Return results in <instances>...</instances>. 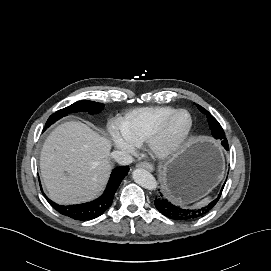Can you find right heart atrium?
Masks as SVG:
<instances>
[{
	"label": "right heart atrium",
	"instance_id": "obj_1",
	"mask_svg": "<svg viewBox=\"0 0 271 271\" xmlns=\"http://www.w3.org/2000/svg\"><path fill=\"white\" fill-rule=\"evenodd\" d=\"M108 135L114 147L129 153L134 152L136 145L130 142L117 127H112Z\"/></svg>",
	"mask_w": 271,
	"mask_h": 271
}]
</instances>
